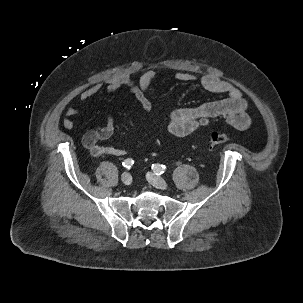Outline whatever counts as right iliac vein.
Segmentation results:
<instances>
[{"label": "right iliac vein", "instance_id": "1", "mask_svg": "<svg viewBox=\"0 0 303 303\" xmlns=\"http://www.w3.org/2000/svg\"><path fill=\"white\" fill-rule=\"evenodd\" d=\"M121 181L125 184V185H130L132 182V177L128 172H125L121 175Z\"/></svg>", "mask_w": 303, "mask_h": 303}]
</instances>
